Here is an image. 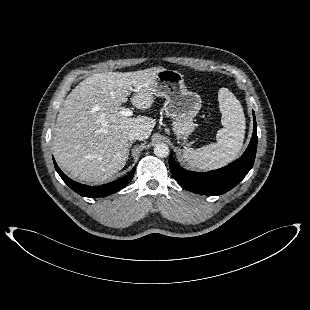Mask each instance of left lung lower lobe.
<instances>
[{
    "label": "left lung lower lobe",
    "mask_w": 310,
    "mask_h": 310,
    "mask_svg": "<svg viewBox=\"0 0 310 310\" xmlns=\"http://www.w3.org/2000/svg\"><path fill=\"white\" fill-rule=\"evenodd\" d=\"M253 134L244 154L231 164L218 170L198 173L178 166L169 157L170 171L175 180L185 189L204 195H220L235 187L253 166L257 150V124L253 112Z\"/></svg>",
    "instance_id": "left-lung-lower-lobe-1"
}]
</instances>
